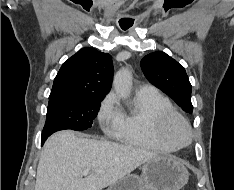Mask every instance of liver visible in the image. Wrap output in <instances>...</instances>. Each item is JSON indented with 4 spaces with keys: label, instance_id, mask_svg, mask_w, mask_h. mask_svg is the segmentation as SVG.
<instances>
[{
    "label": "liver",
    "instance_id": "obj_1",
    "mask_svg": "<svg viewBox=\"0 0 234 190\" xmlns=\"http://www.w3.org/2000/svg\"><path fill=\"white\" fill-rule=\"evenodd\" d=\"M157 156L144 149L60 131L44 145L35 190H102ZM86 169L91 173L83 178Z\"/></svg>",
    "mask_w": 234,
    "mask_h": 190
}]
</instances>
